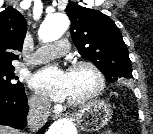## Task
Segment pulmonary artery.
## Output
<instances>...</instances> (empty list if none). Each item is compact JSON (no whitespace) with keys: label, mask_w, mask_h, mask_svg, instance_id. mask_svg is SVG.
<instances>
[{"label":"pulmonary artery","mask_w":153,"mask_h":134,"mask_svg":"<svg viewBox=\"0 0 153 134\" xmlns=\"http://www.w3.org/2000/svg\"><path fill=\"white\" fill-rule=\"evenodd\" d=\"M69 50V42L66 39H60L54 44L46 45L39 48L33 55L31 63L40 64L51 59L66 54Z\"/></svg>","instance_id":"1"}]
</instances>
